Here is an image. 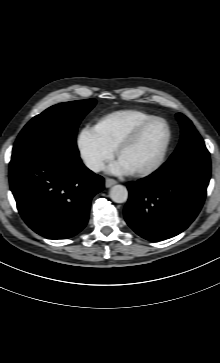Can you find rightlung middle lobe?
Instances as JSON below:
<instances>
[{
    "label": "right lung middle lobe",
    "instance_id": "obj_1",
    "mask_svg": "<svg viewBox=\"0 0 220 363\" xmlns=\"http://www.w3.org/2000/svg\"><path fill=\"white\" fill-rule=\"evenodd\" d=\"M95 104V99L60 103L32 118L20 132L11 160L45 148L59 149L79 158L76 131L83 117Z\"/></svg>",
    "mask_w": 220,
    "mask_h": 363
}]
</instances>
